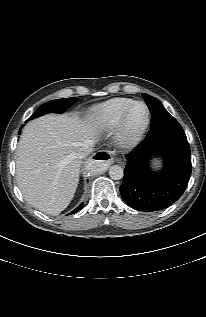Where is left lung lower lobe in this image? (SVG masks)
Returning <instances> with one entry per match:
<instances>
[{"label":"left lung lower lobe","mask_w":206,"mask_h":317,"mask_svg":"<svg viewBox=\"0 0 206 317\" xmlns=\"http://www.w3.org/2000/svg\"><path fill=\"white\" fill-rule=\"evenodd\" d=\"M154 155L164 159V168L159 173L149 168ZM126 159L120 193L131 208L158 211L173 204L185 191L192 168L186 136L145 138Z\"/></svg>","instance_id":"1"}]
</instances>
